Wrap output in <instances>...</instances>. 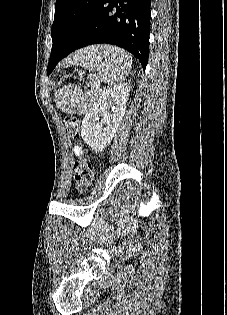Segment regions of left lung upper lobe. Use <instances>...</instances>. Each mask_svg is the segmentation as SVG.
<instances>
[{"label":"left lung upper lobe","mask_w":227,"mask_h":315,"mask_svg":"<svg viewBox=\"0 0 227 315\" xmlns=\"http://www.w3.org/2000/svg\"><path fill=\"white\" fill-rule=\"evenodd\" d=\"M102 0H56L51 36L53 47L67 48L89 23Z\"/></svg>","instance_id":"left-lung-upper-lobe-1"}]
</instances>
